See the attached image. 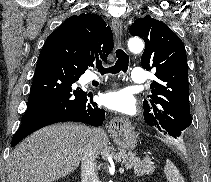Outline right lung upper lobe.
I'll return each mask as SVG.
<instances>
[{
    "mask_svg": "<svg viewBox=\"0 0 211 182\" xmlns=\"http://www.w3.org/2000/svg\"><path fill=\"white\" fill-rule=\"evenodd\" d=\"M62 25L78 41L86 65L93 66V61L98 55L104 61L107 60L113 50V34L100 16L90 13L74 15Z\"/></svg>",
    "mask_w": 211,
    "mask_h": 182,
    "instance_id": "cb5924a9",
    "label": "right lung upper lobe"
}]
</instances>
